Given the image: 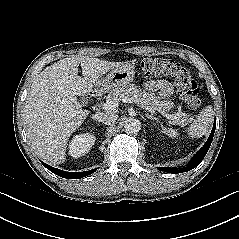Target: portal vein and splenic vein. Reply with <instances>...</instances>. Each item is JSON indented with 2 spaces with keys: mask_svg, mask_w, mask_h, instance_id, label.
I'll use <instances>...</instances> for the list:
<instances>
[{
  "mask_svg": "<svg viewBox=\"0 0 239 239\" xmlns=\"http://www.w3.org/2000/svg\"><path fill=\"white\" fill-rule=\"evenodd\" d=\"M122 102H123V103H132L133 100H132L131 98H129V97H124V98L122 99ZM118 105H119V103L116 102V101L107 100V101L103 104V109L108 110V111H109V110L114 111V110H116V109L118 108ZM144 108H145L146 110L150 111V112H154V109H152V108H148V107H144ZM155 110H157L158 112H160L161 114H163V115H164L166 118H168V119H171V120L177 119V117L174 116V115L166 114L164 111H161V110H159V109H155Z\"/></svg>",
  "mask_w": 239,
  "mask_h": 239,
  "instance_id": "18ae733b",
  "label": "portal vein and splenic vein"
}]
</instances>
